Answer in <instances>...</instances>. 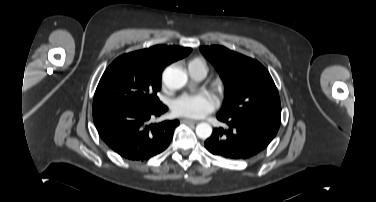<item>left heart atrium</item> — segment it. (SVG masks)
<instances>
[{
	"mask_svg": "<svg viewBox=\"0 0 376 202\" xmlns=\"http://www.w3.org/2000/svg\"><path fill=\"white\" fill-rule=\"evenodd\" d=\"M217 107L216 98L207 91L183 94L174 100L172 111L177 116L200 118Z\"/></svg>",
	"mask_w": 376,
	"mask_h": 202,
	"instance_id": "1",
	"label": "left heart atrium"
}]
</instances>
